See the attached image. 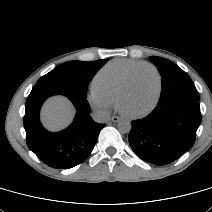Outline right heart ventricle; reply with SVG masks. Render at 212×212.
I'll return each instance as SVG.
<instances>
[{
    "instance_id": "1",
    "label": "right heart ventricle",
    "mask_w": 212,
    "mask_h": 212,
    "mask_svg": "<svg viewBox=\"0 0 212 212\" xmlns=\"http://www.w3.org/2000/svg\"><path fill=\"white\" fill-rule=\"evenodd\" d=\"M144 62L116 59L105 65L95 76L94 85L113 101L129 72Z\"/></svg>"
}]
</instances>
